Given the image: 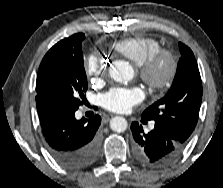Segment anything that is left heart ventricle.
<instances>
[{"mask_svg":"<svg viewBox=\"0 0 223 188\" xmlns=\"http://www.w3.org/2000/svg\"><path fill=\"white\" fill-rule=\"evenodd\" d=\"M165 68H166V63H163L162 66H161V70L164 71Z\"/></svg>","mask_w":223,"mask_h":188,"instance_id":"b2bd125f","label":"left heart ventricle"}]
</instances>
